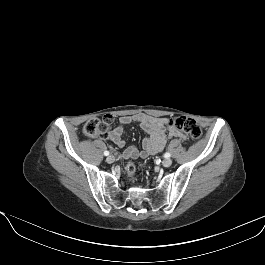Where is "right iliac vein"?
Listing matches in <instances>:
<instances>
[{"instance_id": "right-iliac-vein-1", "label": "right iliac vein", "mask_w": 265, "mask_h": 265, "mask_svg": "<svg viewBox=\"0 0 265 265\" xmlns=\"http://www.w3.org/2000/svg\"><path fill=\"white\" fill-rule=\"evenodd\" d=\"M114 160H115V158H114V156H112V155H109V156L106 158V161H107V163H109V164L113 163Z\"/></svg>"}]
</instances>
